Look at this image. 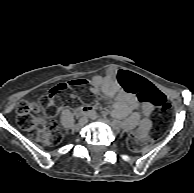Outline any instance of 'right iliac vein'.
<instances>
[{
    "label": "right iliac vein",
    "instance_id": "obj_1",
    "mask_svg": "<svg viewBox=\"0 0 194 193\" xmlns=\"http://www.w3.org/2000/svg\"><path fill=\"white\" fill-rule=\"evenodd\" d=\"M86 123L85 119H84V122H79L77 123L75 126H74V129L79 131L83 126L84 124Z\"/></svg>",
    "mask_w": 194,
    "mask_h": 193
}]
</instances>
